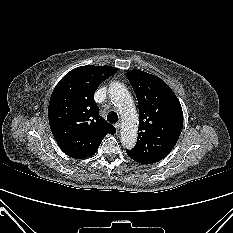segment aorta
I'll return each mask as SVG.
<instances>
[{
  "label": "aorta",
  "mask_w": 233,
  "mask_h": 233,
  "mask_svg": "<svg viewBox=\"0 0 233 233\" xmlns=\"http://www.w3.org/2000/svg\"><path fill=\"white\" fill-rule=\"evenodd\" d=\"M108 95L122 117L121 142L130 149L136 144L139 122L134 102L126 86L119 82H112L109 85Z\"/></svg>",
  "instance_id": "aorta-1"
}]
</instances>
